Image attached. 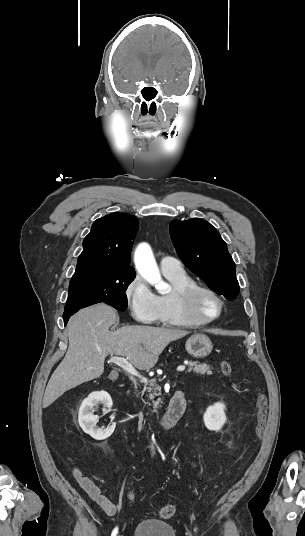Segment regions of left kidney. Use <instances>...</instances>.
Masks as SVG:
<instances>
[{
    "label": "left kidney",
    "instance_id": "1",
    "mask_svg": "<svg viewBox=\"0 0 305 536\" xmlns=\"http://www.w3.org/2000/svg\"><path fill=\"white\" fill-rule=\"evenodd\" d=\"M224 410L225 406L224 404H220V402L207 408L204 414V424L208 430H215V432L221 430L223 424L226 422Z\"/></svg>",
    "mask_w": 305,
    "mask_h": 536
}]
</instances>
